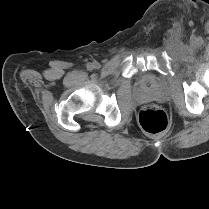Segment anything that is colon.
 <instances>
[{"instance_id": "1", "label": "colon", "mask_w": 209, "mask_h": 209, "mask_svg": "<svg viewBox=\"0 0 209 209\" xmlns=\"http://www.w3.org/2000/svg\"><path fill=\"white\" fill-rule=\"evenodd\" d=\"M139 122L142 128L149 133H159L167 130L169 118L161 108H146L139 114Z\"/></svg>"}]
</instances>
